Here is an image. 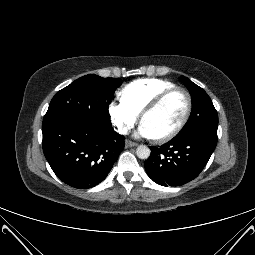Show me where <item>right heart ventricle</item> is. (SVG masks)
Masks as SVG:
<instances>
[{"label": "right heart ventricle", "instance_id": "right-heart-ventricle-1", "mask_svg": "<svg viewBox=\"0 0 255 255\" xmlns=\"http://www.w3.org/2000/svg\"><path fill=\"white\" fill-rule=\"evenodd\" d=\"M172 87L174 83L163 79L136 80L121 90V100L140 114L157 95Z\"/></svg>", "mask_w": 255, "mask_h": 255}]
</instances>
